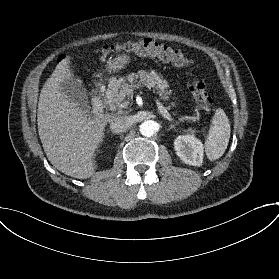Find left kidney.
<instances>
[{
  "instance_id": "left-kidney-1",
  "label": "left kidney",
  "mask_w": 279,
  "mask_h": 279,
  "mask_svg": "<svg viewBox=\"0 0 279 279\" xmlns=\"http://www.w3.org/2000/svg\"><path fill=\"white\" fill-rule=\"evenodd\" d=\"M174 149L180 159L192 166H201L203 163L204 147L194 135H180L174 140Z\"/></svg>"
}]
</instances>
